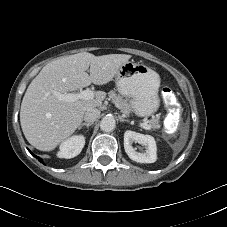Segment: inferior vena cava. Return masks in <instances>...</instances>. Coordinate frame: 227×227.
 <instances>
[{
	"instance_id": "602c4592",
	"label": "inferior vena cava",
	"mask_w": 227,
	"mask_h": 227,
	"mask_svg": "<svg viewBox=\"0 0 227 227\" xmlns=\"http://www.w3.org/2000/svg\"><path fill=\"white\" fill-rule=\"evenodd\" d=\"M100 116V110L97 108H89L84 114V120L87 123H93Z\"/></svg>"
}]
</instances>
